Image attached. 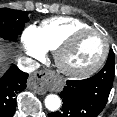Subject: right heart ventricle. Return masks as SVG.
<instances>
[{"instance_id": "e07e8e85", "label": "right heart ventricle", "mask_w": 117, "mask_h": 117, "mask_svg": "<svg viewBox=\"0 0 117 117\" xmlns=\"http://www.w3.org/2000/svg\"><path fill=\"white\" fill-rule=\"evenodd\" d=\"M84 21L73 17H54L43 21L37 28L38 38L45 50H56L72 32L90 28Z\"/></svg>"}]
</instances>
